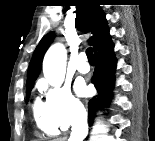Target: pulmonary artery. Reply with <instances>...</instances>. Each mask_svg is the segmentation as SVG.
Returning a JSON list of instances; mask_svg holds the SVG:
<instances>
[{
	"label": "pulmonary artery",
	"mask_w": 155,
	"mask_h": 141,
	"mask_svg": "<svg viewBox=\"0 0 155 141\" xmlns=\"http://www.w3.org/2000/svg\"><path fill=\"white\" fill-rule=\"evenodd\" d=\"M87 57L84 53H81L78 56V61L76 64V69L80 72V73H87L90 69L88 63L86 62Z\"/></svg>",
	"instance_id": "pulmonary-artery-1"
}]
</instances>
